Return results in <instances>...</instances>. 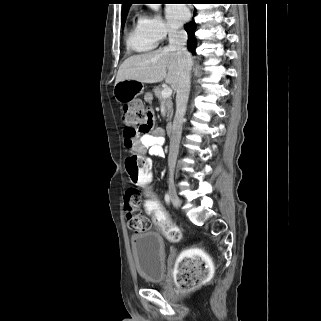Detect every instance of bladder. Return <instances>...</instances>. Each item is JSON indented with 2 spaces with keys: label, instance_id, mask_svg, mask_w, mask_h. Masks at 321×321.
<instances>
[{
  "label": "bladder",
  "instance_id": "1",
  "mask_svg": "<svg viewBox=\"0 0 321 321\" xmlns=\"http://www.w3.org/2000/svg\"><path fill=\"white\" fill-rule=\"evenodd\" d=\"M130 246L136 270L149 283H161L165 277V244L154 231L134 234Z\"/></svg>",
  "mask_w": 321,
  "mask_h": 321
}]
</instances>
